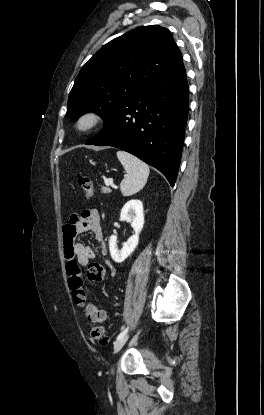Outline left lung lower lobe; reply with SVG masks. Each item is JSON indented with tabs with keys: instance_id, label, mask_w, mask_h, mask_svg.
Segmentation results:
<instances>
[{
	"instance_id": "1",
	"label": "left lung lower lobe",
	"mask_w": 264,
	"mask_h": 415,
	"mask_svg": "<svg viewBox=\"0 0 264 415\" xmlns=\"http://www.w3.org/2000/svg\"><path fill=\"white\" fill-rule=\"evenodd\" d=\"M189 91L183 62L126 101L86 144L114 146L161 171L174 186L183 149Z\"/></svg>"
}]
</instances>
